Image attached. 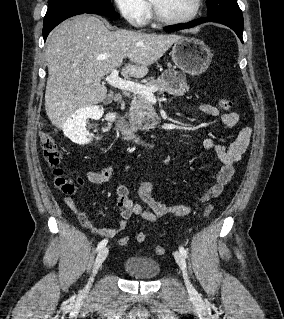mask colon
<instances>
[{
  "instance_id": "colon-1",
  "label": "colon",
  "mask_w": 284,
  "mask_h": 319,
  "mask_svg": "<svg viewBox=\"0 0 284 319\" xmlns=\"http://www.w3.org/2000/svg\"><path fill=\"white\" fill-rule=\"evenodd\" d=\"M219 105L223 110H230L232 108V102L227 98H221L219 100ZM40 146L42 150V155L46 161V163L54 168V174L56 176L55 184L56 186L61 189L65 193H71L74 190V186L72 183H70L68 180H66L62 176V169H60L58 166L60 164L61 160V153L58 150V147L53 139V137L46 131L40 132ZM213 211L212 205H207L204 209V216H209ZM146 239V236L144 233H138L136 236V240L139 243L144 242ZM129 242L128 237H123L119 240V245L126 246ZM165 249L164 247L158 245L155 247V253L157 255L164 254Z\"/></svg>"
}]
</instances>
